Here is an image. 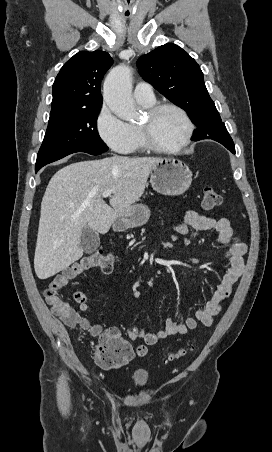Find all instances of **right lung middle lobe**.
<instances>
[{
    "label": "right lung middle lobe",
    "instance_id": "right-lung-middle-lobe-1",
    "mask_svg": "<svg viewBox=\"0 0 272 452\" xmlns=\"http://www.w3.org/2000/svg\"><path fill=\"white\" fill-rule=\"evenodd\" d=\"M100 108L69 111L50 115L47 131L37 159L60 155L72 149L94 153L108 150L96 126Z\"/></svg>",
    "mask_w": 272,
    "mask_h": 452
}]
</instances>
